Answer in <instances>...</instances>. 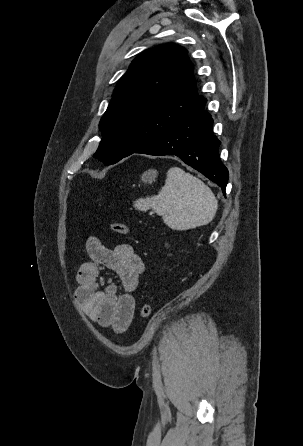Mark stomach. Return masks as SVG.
I'll use <instances>...</instances> for the list:
<instances>
[{
  "instance_id": "0dacf381",
  "label": "stomach",
  "mask_w": 303,
  "mask_h": 446,
  "mask_svg": "<svg viewBox=\"0 0 303 446\" xmlns=\"http://www.w3.org/2000/svg\"><path fill=\"white\" fill-rule=\"evenodd\" d=\"M158 172L156 169H149L147 171H145L142 175H141V181L145 184H151L155 181V179L157 178Z\"/></svg>"
}]
</instances>
